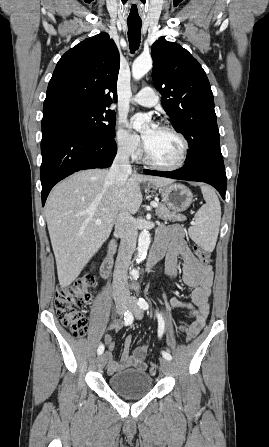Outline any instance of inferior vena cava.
<instances>
[{"label": "inferior vena cava", "instance_id": "inferior-vena-cava-1", "mask_svg": "<svg viewBox=\"0 0 269 447\" xmlns=\"http://www.w3.org/2000/svg\"><path fill=\"white\" fill-rule=\"evenodd\" d=\"M129 152L124 146H119L116 158L106 176L108 182H114L116 186H124L128 176L132 172L129 162ZM115 233L121 237L118 255L113 273V295L124 293L129 297L127 289V271L130 265V259L135 251L137 241V225L128 212H120L115 222Z\"/></svg>", "mask_w": 269, "mask_h": 447}]
</instances>
